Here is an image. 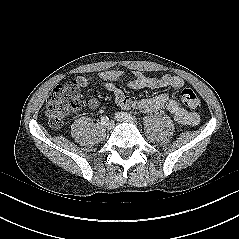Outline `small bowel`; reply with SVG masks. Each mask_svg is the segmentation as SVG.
I'll list each match as a JSON object with an SVG mask.
<instances>
[{
  "mask_svg": "<svg viewBox=\"0 0 239 239\" xmlns=\"http://www.w3.org/2000/svg\"><path fill=\"white\" fill-rule=\"evenodd\" d=\"M126 74L119 69H110L102 71L97 77L78 76L75 82L80 87H86L90 83L96 81L110 91L117 105L123 109L135 108L143 113L157 112L166 109L169 114L181 125L194 126L198 124L200 117L194 111H187L167 93H161L152 98L133 100L126 96L124 92L118 88L114 82L122 80ZM184 81L177 75L165 74L160 77L148 76L142 72L133 73L128 80V86L132 89H161L171 88L179 90L183 87ZM100 105L97 98H91L88 101V107L96 110Z\"/></svg>",
  "mask_w": 239,
  "mask_h": 239,
  "instance_id": "obj_1",
  "label": "small bowel"
}]
</instances>
